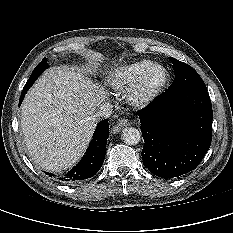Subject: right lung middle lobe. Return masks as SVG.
<instances>
[{"instance_id":"1","label":"right lung middle lobe","mask_w":233,"mask_h":233,"mask_svg":"<svg viewBox=\"0 0 233 233\" xmlns=\"http://www.w3.org/2000/svg\"><path fill=\"white\" fill-rule=\"evenodd\" d=\"M47 68H48L47 59L44 58L34 69L28 82H32V81L34 82L42 74V72Z\"/></svg>"}]
</instances>
